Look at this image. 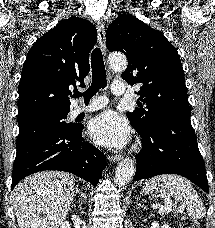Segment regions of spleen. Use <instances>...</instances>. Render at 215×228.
I'll return each instance as SVG.
<instances>
[{
	"label": "spleen",
	"mask_w": 215,
	"mask_h": 228,
	"mask_svg": "<svg viewBox=\"0 0 215 228\" xmlns=\"http://www.w3.org/2000/svg\"><path fill=\"white\" fill-rule=\"evenodd\" d=\"M150 192H160L162 196H171L176 202H180L188 212V216L192 220H198V218H204L205 206L202 204V200L192 188L191 184L176 176V174H163V176H155L148 182H145L142 188V194H150Z\"/></svg>",
	"instance_id": "obj_1"
}]
</instances>
